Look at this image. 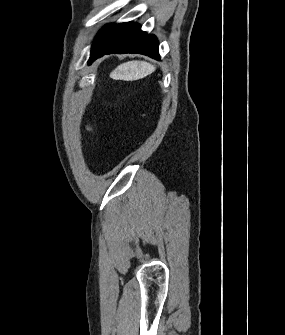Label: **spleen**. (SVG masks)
I'll return each mask as SVG.
<instances>
[{
    "instance_id": "1",
    "label": "spleen",
    "mask_w": 285,
    "mask_h": 335,
    "mask_svg": "<svg viewBox=\"0 0 285 335\" xmlns=\"http://www.w3.org/2000/svg\"><path fill=\"white\" fill-rule=\"evenodd\" d=\"M127 68L128 70H131V76H138V78H142V76L154 72L153 66H149V64H139V62L127 64Z\"/></svg>"
}]
</instances>
